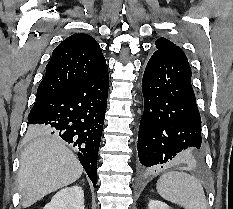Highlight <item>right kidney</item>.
<instances>
[{
  "instance_id": "1",
  "label": "right kidney",
  "mask_w": 233,
  "mask_h": 209,
  "mask_svg": "<svg viewBox=\"0 0 233 209\" xmlns=\"http://www.w3.org/2000/svg\"><path fill=\"white\" fill-rule=\"evenodd\" d=\"M84 191L75 185L57 192L43 209H84Z\"/></svg>"
}]
</instances>
